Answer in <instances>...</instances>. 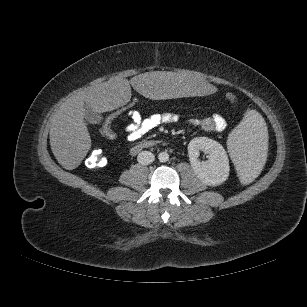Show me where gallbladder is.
<instances>
[{
  "label": "gallbladder",
  "instance_id": "gallbladder-1",
  "mask_svg": "<svg viewBox=\"0 0 307 307\" xmlns=\"http://www.w3.org/2000/svg\"><path fill=\"white\" fill-rule=\"evenodd\" d=\"M84 116L88 122L93 123V124L99 123L102 120L101 115L90 108L86 109Z\"/></svg>",
  "mask_w": 307,
  "mask_h": 307
}]
</instances>
